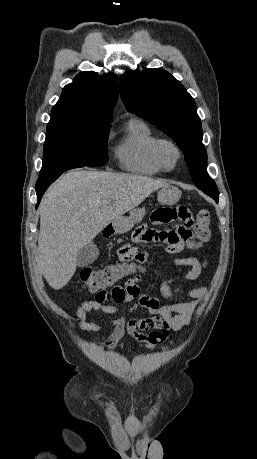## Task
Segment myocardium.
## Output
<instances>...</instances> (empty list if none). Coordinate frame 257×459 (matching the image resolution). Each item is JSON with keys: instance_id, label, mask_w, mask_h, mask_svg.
Masks as SVG:
<instances>
[{"instance_id": "1", "label": "myocardium", "mask_w": 257, "mask_h": 459, "mask_svg": "<svg viewBox=\"0 0 257 459\" xmlns=\"http://www.w3.org/2000/svg\"><path fill=\"white\" fill-rule=\"evenodd\" d=\"M164 146H170L171 148L174 149L176 152V160L175 163L172 166H168L166 162L163 159L162 156V149ZM153 155L158 163V165L164 170V171H173L177 168L179 165L181 159H182V151L180 147L172 140L166 139V138H160L156 141L154 148H153Z\"/></svg>"}]
</instances>
